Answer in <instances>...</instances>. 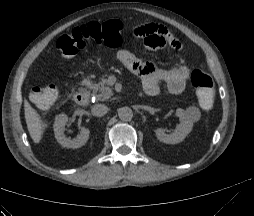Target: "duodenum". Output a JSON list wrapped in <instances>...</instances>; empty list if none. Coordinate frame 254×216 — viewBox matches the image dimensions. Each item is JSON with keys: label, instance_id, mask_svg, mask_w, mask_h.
<instances>
[{"label": "duodenum", "instance_id": "duodenum-1", "mask_svg": "<svg viewBox=\"0 0 254 216\" xmlns=\"http://www.w3.org/2000/svg\"><path fill=\"white\" fill-rule=\"evenodd\" d=\"M75 102L80 106H85L89 102V95L85 91H78L74 96Z\"/></svg>", "mask_w": 254, "mask_h": 216}]
</instances>
